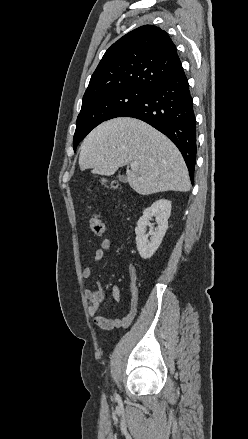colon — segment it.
Masks as SVG:
<instances>
[{
  "mask_svg": "<svg viewBox=\"0 0 248 439\" xmlns=\"http://www.w3.org/2000/svg\"><path fill=\"white\" fill-rule=\"evenodd\" d=\"M101 184L103 186L109 187L110 189H116L118 187V184L116 182L106 183V181H102ZM89 210L91 212L89 220L90 230L96 236H101L105 229L101 216L92 206H89Z\"/></svg>",
  "mask_w": 248,
  "mask_h": 439,
  "instance_id": "5ec220e1",
  "label": "colon"
}]
</instances>
